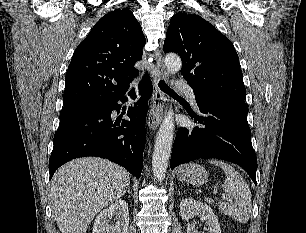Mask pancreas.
Masks as SVG:
<instances>
[{"mask_svg": "<svg viewBox=\"0 0 306 233\" xmlns=\"http://www.w3.org/2000/svg\"><path fill=\"white\" fill-rule=\"evenodd\" d=\"M205 201L208 202L209 204H212V203H213V200H211V199H209V198H206Z\"/></svg>", "mask_w": 306, "mask_h": 233, "instance_id": "1", "label": "pancreas"}]
</instances>
